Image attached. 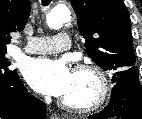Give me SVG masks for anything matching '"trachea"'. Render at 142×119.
I'll list each match as a JSON object with an SVG mask.
<instances>
[{
  "label": "trachea",
  "mask_w": 142,
  "mask_h": 119,
  "mask_svg": "<svg viewBox=\"0 0 142 119\" xmlns=\"http://www.w3.org/2000/svg\"><path fill=\"white\" fill-rule=\"evenodd\" d=\"M50 2L51 0H42V5L47 6Z\"/></svg>",
  "instance_id": "1"
}]
</instances>
